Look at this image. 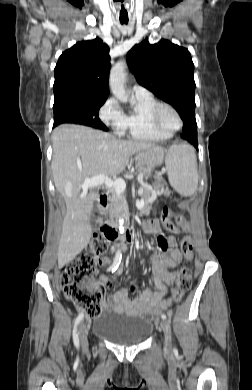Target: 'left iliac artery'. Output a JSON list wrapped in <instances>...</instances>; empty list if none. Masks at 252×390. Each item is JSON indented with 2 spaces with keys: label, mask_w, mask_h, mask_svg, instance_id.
<instances>
[{
  "label": "left iliac artery",
  "mask_w": 252,
  "mask_h": 390,
  "mask_svg": "<svg viewBox=\"0 0 252 390\" xmlns=\"http://www.w3.org/2000/svg\"><path fill=\"white\" fill-rule=\"evenodd\" d=\"M162 319H167V316L165 314L161 315Z\"/></svg>",
  "instance_id": "obj_1"
}]
</instances>
